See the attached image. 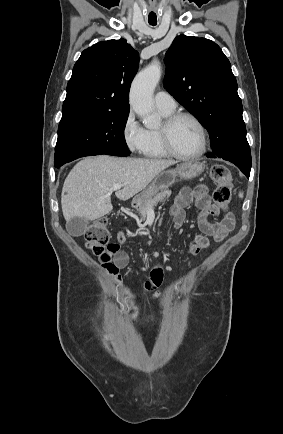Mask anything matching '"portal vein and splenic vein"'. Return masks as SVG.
Here are the masks:
<instances>
[{
  "label": "portal vein and splenic vein",
  "instance_id": "18ae733b",
  "mask_svg": "<svg viewBox=\"0 0 283 434\" xmlns=\"http://www.w3.org/2000/svg\"><path fill=\"white\" fill-rule=\"evenodd\" d=\"M122 187H123L122 184H115V185H113V186L110 188V192H113V191L119 190V189L122 188ZM153 212H154L153 209H151V210L149 211L150 214L153 213Z\"/></svg>",
  "mask_w": 283,
  "mask_h": 434
}]
</instances>
